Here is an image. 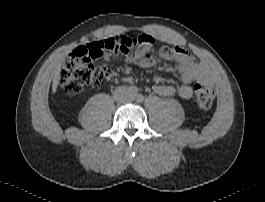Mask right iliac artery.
<instances>
[{"instance_id":"obj_1","label":"right iliac artery","mask_w":265,"mask_h":202,"mask_svg":"<svg viewBox=\"0 0 265 202\" xmlns=\"http://www.w3.org/2000/svg\"><path fill=\"white\" fill-rule=\"evenodd\" d=\"M129 91H130L132 94H136V93L138 92V89H137V87H135V86H131V87L129 88Z\"/></svg>"}]
</instances>
